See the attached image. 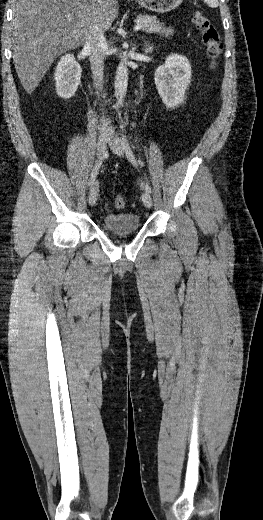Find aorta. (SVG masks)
Here are the masks:
<instances>
[{
  "instance_id": "762f6f07",
  "label": "aorta",
  "mask_w": 263,
  "mask_h": 520,
  "mask_svg": "<svg viewBox=\"0 0 263 520\" xmlns=\"http://www.w3.org/2000/svg\"><path fill=\"white\" fill-rule=\"evenodd\" d=\"M127 86L128 68L123 62H120L116 70V77L114 83L117 107H121L123 105L124 98L127 92Z\"/></svg>"
}]
</instances>
